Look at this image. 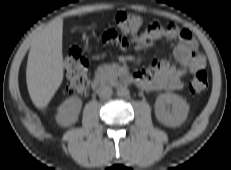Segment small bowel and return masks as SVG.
<instances>
[{
  "label": "small bowel",
  "mask_w": 231,
  "mask_h": 170,
  "mask_svg": "<svg viewBox=\"0 0 231 170\" xmlns=\"http://www.w3.org/2000/svg\"><path fill=\"white\" fill-rule=\"evenodd\" d=\"M160 39L178 41L173 51L174 59L178 65L154 61L147 69L136 72L134 78L138 85L147 90H179L183 87L184 76L203 69L206 64L204 55L188 29L180 28L174 23L162 26L154 22L146 31L134 37L121 34L115 29L95 35V40L99 45H113L121 49L149 48Z\"/></svg>",
  "instance_id": "obj_1"
}]
</instances>
